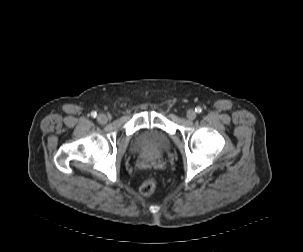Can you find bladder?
Returning <instances> with one entry per match:
<instances>
[{
  "mask_svg": "<svg viewBox=\"0 0 303 252\" xmlns=\"http://www.w3.org/2000/svg\"><path fill=\"white\" fill-rule=\"evenodd\" d=\"M169 136L160 129H146L135 139L132 148L138 155L161 154L170 148Z\"/></svg>",
  "mask_w": 303,
  "mask_h": 252,
  "instance_id": "31cf9c89",
  "label": "bladder"
}]
</instances>
